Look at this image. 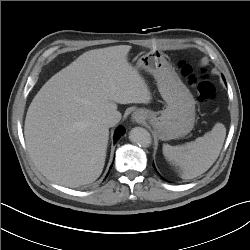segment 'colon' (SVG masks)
I'll use <instances>...</instances> for the list:
<instances>
[{
	"label": "colon",
	"instance_id": "obj_1",
	"mask_svg": "<svg viewBox=\"0 0 250 250\" xmlns=\"http://www.w3.org/2000/svg\"><path fill=\"white\" fill-rule=\"evenodd\" d=\"M182 73L189 79L190 84L196 89L197 99L201 102H207L215 98L216 89L205 75L194 72L191 65L182 66Z\"/></svg>",
	"mask_w": 250,
	"mask_h": 250
}]
</instances>
